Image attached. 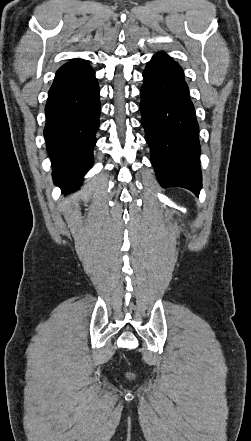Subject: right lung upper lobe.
I'll list each match as a JSON object with an SVG mask.
<instances>
[{
  "label": "right lung upper lobe",
  "mask_w": 251,
  "mask_h": 441,
  "mask_svg": "<svg viewBox=\"0 0 251 441\" xmlns=\"http://www.w3.org/2000/svg\"><path fill=\"white\" fill-rule=\"evenodd\" d=\"M89 64L83 59H73L70 62L63 65L60 69H70L75 67L88 66Z\"/></svg>",
  "instance_id": "cb5924a9"
}]
</instances>
